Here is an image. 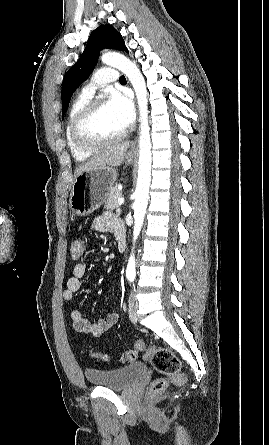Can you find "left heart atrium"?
Listing matches in <instances>:
<instances>
[{
  "label": "left heart atrium",
  "mask_w": 269,
  "mask_h": 445,
  "mask_svg": "<svg viewBox=\"0 0 269 445\" xmlns=\"http://www.w3.org/2000/svg\"><path fill=\"white\" fill-rule=\"evenodd\" d=\"M107 104L125 128L133 123L135 119V109L129 96L116 91L112 92Z\"/></svg>",
  "instance_id": "left-heart-atrium-1"
}]
</instances>
